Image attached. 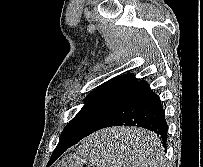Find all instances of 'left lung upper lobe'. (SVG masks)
Here are the masks:
<instances>
[{"instance_id":"obj_1","label":"left lung upper lobe","mask_w":203,"mask_h":167,"mask_svg":"<svg viewBox=\"0 0 203 167\" xmlns=\"http://www.w3.org/2000/svg\"><path fill=\"white\" fill-rule=\"evenodd\" d=\"M134 80L133 74L117 76L89 93L84 100L85 105L63 129L60 139L75 134H91L112 111Z\"/></svg>"}]
</instances>
